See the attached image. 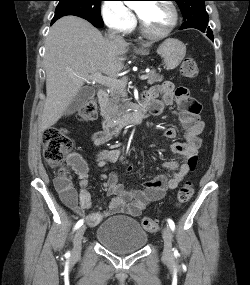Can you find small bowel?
Returning a JSON list of instances; mask_svg holds the SVG:
<instances>
[{
  "label": "small bowel",
  "instance_id": "obj_1",
  "mask_svg": "<svg viewBox=\"0 0 250 285\" xmlns=\"http://www.w3.org/2000/svg\"><path fill=\"white\" fill-rule=\"evenodd\" d=\"M143 99L145 106L153 115L161 114L165 106L172 105L175 101L178 103V118L185 131V141L172 143L170 150L180 155L182 162L179 163L173 159L165 161L162 164L164 172L157 177L145 180L142 189H125L119 182L116 172L104 175L108 194L112 197L108 209L86 215V211L92 206L91 194L87 188L88 166L79 154L70 155L68 163L79 178L80 190L77 192L65 179L56 182V189L64 204L78 216L84 217L89 226H96L105 217L118 213L138 217L149 203L161 199L166 191L176 189L182 183L190 170L189 158L194 156L201 146L200 134L204 128V123L199 116L201 107L195 99L190 97L187 88L175 89L172 83L164 82L151 87L143 95ZM164 134L168 138H174L177 130L175 127H168ZM112 138L113 134L105 131H96L92 134V143L97 149L95 158L100 166L116 162L120 158L121 152L118 148H104ZM127 169L131 171L133 166L129 165Z\"/></svg>",
  "mask_w": 250,
  "mask_h": 285
}]
</instances>
